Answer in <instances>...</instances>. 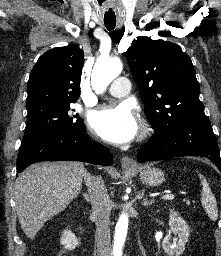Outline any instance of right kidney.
Masks as SVG:
<instances>
[{
  "label": "right kidney",
  "instance_id": "1",
  "mask_svg": "<svg viewBox=\"0 0 221 256\" xmlns=\"http://www.w3.org/2000/svg\"><path fill=\"white\" fill-rule=\"evenodd\" d=\"M61 244L64 245L67 250H74L79 245V240L72 231L66 229L63 231L61 237Z\"/></svg>",
  "mask_w": 221,
  "mask_h": 256
}]
</instances>
